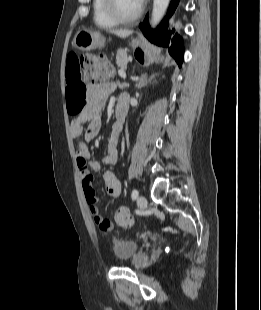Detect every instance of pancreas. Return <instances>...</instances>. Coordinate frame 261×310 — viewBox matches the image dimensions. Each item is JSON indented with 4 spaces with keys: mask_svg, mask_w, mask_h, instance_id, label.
<instances>
[{
    "mask_svg": "<svg viewBox=\"0 0 261 310\" xmlns=\"http://www.w3.org/2000/svg\"><path fill=\"white\" fill-rule=\"evenodd\" d=\"M116 63L117 65L122 68L125 69L128 63V58H127V53L125 50H118L117 54H116Z\"/></svg>",
    "mask_w": 261,
    "mask_h": 310,
    "instance_id": "1",
    "label": "pancreas"
}]
</instances>
